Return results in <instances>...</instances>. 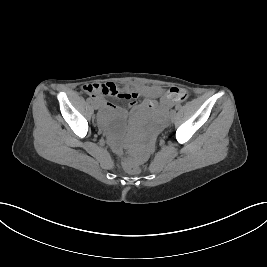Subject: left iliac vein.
<instances>
[{
    "label": "left iliac vein",
    "mask_w": 267,
    "mask_h": 267,
    "mask_svg": "<svg viewBox=\"0 0 267 267\" xmlns=\"http://www.w3.org/2000/svg\"><path fill=\"white\" fill-rule=\"evenodd\" d=\"M175 115V114H174ZM174 115H170V120H173V118H174Z\"/></svg>",
    "instance_id": "left-iliac-vein-1"
}]
</instances>
